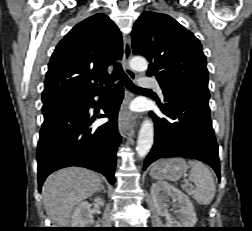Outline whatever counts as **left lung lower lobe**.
<instances>
[{
	"label": "left lung lower lobe",
	"instance_id": "left-lung-lower-lobe-1",
	"mask_svg": "<svg viewBox=\"0 0 252 231\" xmlns=\"http://www.w3.org/2000/svg\"><path fill=\"white\" fill-rule=\"evenodd\" d=\"M162 112L169 120L150 113L155 123L154 145L143 169L160 158L188 157L210 165L220 180L218 145L208 105L209 91L194 85H183L163 92Z\"/></svg>",
	"mask_w": 252,
	"mask_h": 231
}]
</instances>
